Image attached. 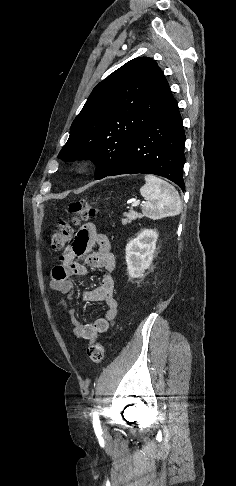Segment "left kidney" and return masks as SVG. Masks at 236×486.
Wrapping results in <instances>:
<instances>
[{
	"mask_svg": "<svg viewBox=\"0 0 236 486\" xmlns=\"http://www.w3.org/2000/svg\"><path fill=\"white\" fill-rule=\"evenodd\" d=\"M157 238L156 231L145 229L126 245L127 270L131 278L143 277L152 264Z\"/></svg>",
	"mask_w": 236,
	"mask_h": 486,
	"instance_id": "5707ae66",
	"label": "left kidney"
}]
</instances>
